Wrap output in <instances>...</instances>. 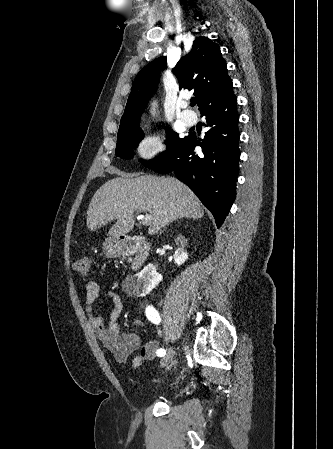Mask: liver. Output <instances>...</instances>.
<instances>
[{"label":"liver","mask_w":333,"mask_h":449,"mask_svg":"<svg viewBox=\"0 0 333 449\" xmlns=\"http://www.w3.org/2000/svg\"><path fill=\"white\" fill-rule=\"evenodd\" d=\"M107 181L94 194L87 210V227L92 232L113 220L109 231L114 238L130 232L135 212H149L148 233L154 235L177 218L201 219V203L183 183L172 177L135 174Z\"/></svg>","instance_id":"1"}]
</instances>
